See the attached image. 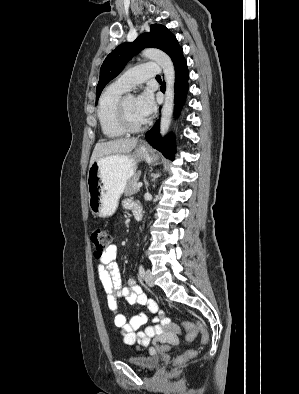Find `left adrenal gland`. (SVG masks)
<instances>
[{
  "label": "left adrenal gland",
  "instance_id": "obj_1",
  "mask_svg": "<svg viewBox=\"0 0 299 394\" xmlns=\"http://www.w3.org/2000/svg\"><path fill=\"white\" fill-rule=\"evenodd\" d=\"M148 185H149L148 182H146V186H147V187H148Z\"/></svg>",
  "mask_w": 299,
  "mask_h": 394
}]
</instances>
